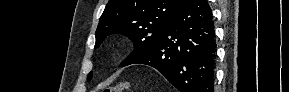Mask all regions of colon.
<instances>
[{
  "mask_svg": "<svg viewBox=\"0 0 289 92\" xmlns=\"http://www.w3.org/2000/svg\"><path fill=\"white\" fill-rule=\"evenodd\" d=\"M128 87H129L128 83L122 82L105 89L104 92H121L127 90Z\"/></svg>",
  "mask_w": 289,
  "mask_h": 92,
  "instance_id": "obj_1",
  "label": "colon"
}]
</instances>
